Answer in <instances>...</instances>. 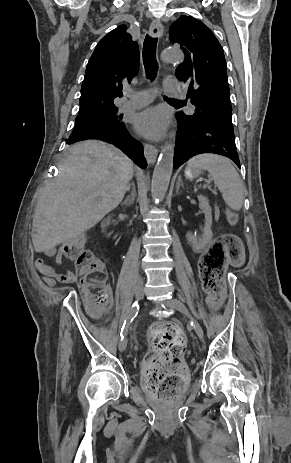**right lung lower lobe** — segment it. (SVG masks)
Segmentation results:
<instances>
[{
  "label": "right lung lower lobe",
  "mask_w": 291,
  "mask_h": 463,
  "mask_svg": "<svg viewBox=\"0 0 291 463\" xmlns=\"http://www.w3.org/2000/svg\"><path fill=\"white\" fill-rule=\"evenodd\" d=\"M86 139H99L113 144L122 150L139 167L143 169L147 167V162L143 156L142 144L131 137L125 125L118 128L95 130L75 137H69L67 144Z\"/></svg>",
  "instance_id": "right-lung-lower-lobe-1"
}]
</instances>
